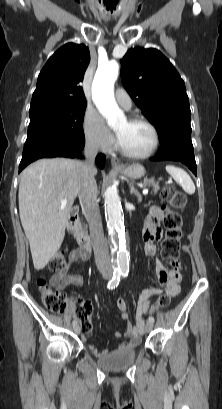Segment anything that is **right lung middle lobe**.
<instances>
[{"mask_svg":"<svg viewBox=\"0 0 222 409\" xmlns=\"http://www.w3.org/2000/svg\"><path fill=\"white\" fill-rule=\"evenodd\" d=\"M85 109L86 103L51 104L30 109L22 157L41 152H67L83 145Z\"/></svg>","mask_w":222,"mask_h":409,"instance_id":"obj_1","label":"right lung middle lobe"}]
</instances>
